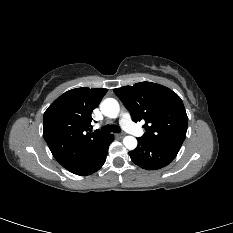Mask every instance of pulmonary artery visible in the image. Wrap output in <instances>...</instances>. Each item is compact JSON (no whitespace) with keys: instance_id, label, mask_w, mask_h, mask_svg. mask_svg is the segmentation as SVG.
I'll list each match as a JSON object with an SVG mask.
<instances>
[{"instance_id":"pulmonary-artery-1","label":"pulmonary artery","mask_w":233,"mask_h":233,"mask_svg":"<svg viewBox=\"0 0 233 233\" xmlns=\"http://www.w3.org/2000/svg\"><path fill=\"white\" fill-rule=\"evenodd\" d=\"M121 126L129 133L137 135L139 133L138 128L132 122L130 114L127 112H123L120 118Z\"/></svg>"}]
</instances>
